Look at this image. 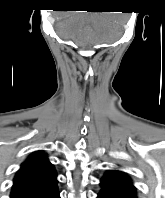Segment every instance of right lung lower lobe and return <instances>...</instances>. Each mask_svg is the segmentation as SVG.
I'll return each instance as SVG.
<instances>
[{"label": "right lung lower lobe", "instance_id": "98d812e1", "mask_svg": "<svg viewBox=\"0 0 165 198\" xmlns=\"http://www.w3.org/2000/svg\"><path fill=\"white\" fill-rule=\"evenodd\" d=\"M40 198H60L57 187L55 189H53L52 191L44 194Z\"/></svg>", "mask_w": 165, "mask_h": 198}]
</instances>
